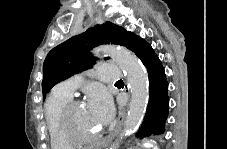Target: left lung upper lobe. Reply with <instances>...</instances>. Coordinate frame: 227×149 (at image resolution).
<instances>
[{
  "instance_id": "obj_1",
  "label": "left lung upper lobe",
  "mask_w": 227,
  "mask_h": 149,
  "mask_svg": "<svg viewBox=\"0 0 227 149\" xmlns=\"http://www.w3.org/2000/svg\"><path fill=\"white\" fill-rule=\"evenodd\" d=\"M131 33L123 27L105 22L54 47L43 64V99L57 83L92 67L96 58L89 53L90 49L110 43L126 47Z\"/></svg>"
}]
</instances>
